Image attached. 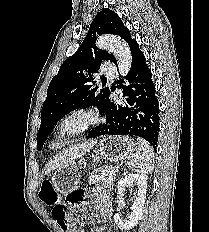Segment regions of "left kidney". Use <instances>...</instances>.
Masks as SVG:
<instances>
[{"label": "left kidney", "mask_w": 209, "mask_h": 232, "mask_svg": "<svg viewBox=\"0 0 209 232\" xmlns=\"http://www.w3.org/2000/svg\"><path fill=\"white\" fill-rule=\"evenodd\" d=\"M135 185L137 190L135 192L132 212L128 219L122 220L119 213H115L114 221L120 229L129 230L138 224L142 218L143 207L146 199L147 192V176L145 174H128L122 177L118 183L117 197L123 200L126 188Z\"/></svg>", "instance_id": "left-kidney-1"}]
</instances>
